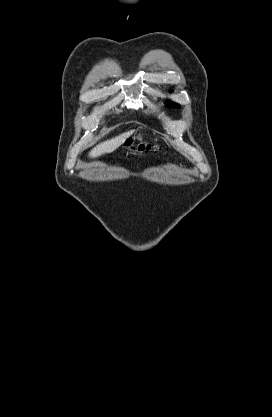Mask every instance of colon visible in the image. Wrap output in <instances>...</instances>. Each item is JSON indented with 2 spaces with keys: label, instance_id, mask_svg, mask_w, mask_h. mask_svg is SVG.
I'll list each match as a JSON object with an SVG mask.
<instances>
[{
  "label": "colon",
  "instance_id": "1",
  "mask_svg": "<svg viewBox=\"0 0 272 417\" xmlns=\"http://www.w3.org/2000/svg\"><path fill=\"white\" fill-rule=\"evenodd\" d=\"M127 146H130L132 149H134V150H136L137 152H140V153H143L146 150H151L152 148H155V146L151 145L148 142H144V141H141L136 145H133L132 141H129L127 143Z\"/></svg>",
  "mask_w": 272,
  "mask_h": 417
}]
</instances>
